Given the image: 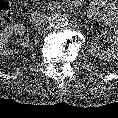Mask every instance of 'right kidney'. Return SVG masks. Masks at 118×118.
<instances>
[{
	"label": "right kidney",
	"instance_id": "obj_1",
	"mask_svg": "<svg viewBox=\"0 0 118 118\" xmlns=\"http://www.w3.org/2000/svg\"><path fill=\"white\" fill-rule=\"evenodd\" d=\"M26 29L23 24H15L11 25L9 27H6L1 33H0V54L8 56L12 55L13 51L9 49L7 46V42L9 38H11L13 35H23L25 33ZM27 45L26 42L23 43V47Z\"/></svg>",
	"mask_w": 118,
	"mask_h": 118
}]
</instances>
